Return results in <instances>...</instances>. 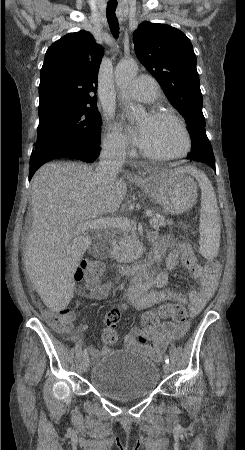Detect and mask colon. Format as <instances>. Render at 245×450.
I'll return each instance as SVG.
<instances>
[{"mask_svg": "<svg viewBox=\"0 0 245 450\" xmlns=\"http://www.w3.org/2000/svg\"><path fill=\"white\" fill-rule=\"evenodd\" d=\"M206 268L209 272L215 273L219 270V263L216 260H210ZM102 271L103 267L98 262L86 260L77 269L74 278L77 282L85 281L88 286L97 287L100 285ZM72 315L73 313L67 307L44 312L47 322L63 332L70 330ZM121 316L122 309L119 305L112 307L105 314L102 338L106 344L113 345L118 341V334L114 328L120 322ZM167 318H170L175 323L183 324L188 319L187 309L181 304L165 303L154 310L148 311L142 317V332L139 335V341L142 343L147 342L158 323Z\"/></svg>", "mask_w": 245, "mask_h": 450, "instance_id": "5ec220e1", "label": "colon"}]
</instances>
